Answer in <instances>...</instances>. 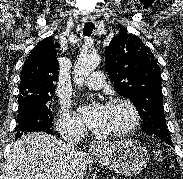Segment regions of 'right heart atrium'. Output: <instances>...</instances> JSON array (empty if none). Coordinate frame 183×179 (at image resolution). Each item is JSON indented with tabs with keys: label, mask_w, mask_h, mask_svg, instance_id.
<instances>
[{
	"label": "right heart atrium",
	"mask_w": 183,
	"mask_h": 179,
	"mask_svg": "<svg viewBox=\"0 0 183 179\" xmlns=\"http://www.w3.org/2000/svg\"><path fill=\"white\" fill-rule=\"evenodd\" d=\"M58 127L64 134L82 133L84 130L80 118L66 107L63 108L60 115Z\"/></svg>",
	"instance_id": "right-heart-atrium-1"
}]
</instances>
